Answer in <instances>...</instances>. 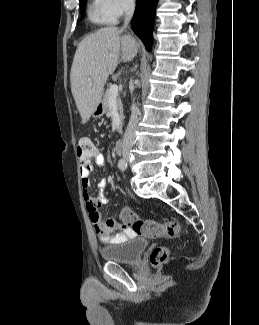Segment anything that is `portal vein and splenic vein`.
I'll use <instances>...</instances> for the list:
<instances>
[{
    "mask_svg": "<svg viewBox=\"0 0 259 325\" xmlns=\"http://www.w3.org/2000/svg\"><path fill=\"white\" fill-rule=\"evenodd\" d=\"M109 92H110V100L116 99L118 95V85L116 84L111 85Z\"/></svg>",
    "mask_w": 259,
    "mask_h": 325,
    "instance_id": "18ae733b",
    "label": "portal vein and splenic vein"
}]
</instances>
